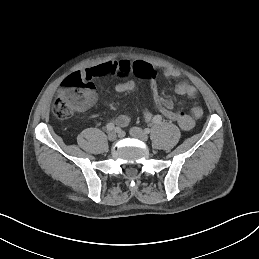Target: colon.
I'll list each match as a JSON object with an SVG mask.
<instances>
[{
  "instance_id": "colon-1",
  "label": "colon",
  "mask_w": 259,
  "mask_h": 259,
  "mask_svg": "<svg viewBox=\"0 0 259 259\" xmlns=\"http://www.w3.org/2000/svg\"><path fill=\"white\" fill-rule=\"evenodd\" d=\"M93 98L92 84L85 80L80 73H73L63 80L53 104V112L58 118H68L73 113L86 109ZM184 117L183 111H175L169 119L178 123Z\"/></svg>"
}]
</instances>
